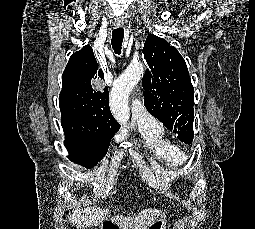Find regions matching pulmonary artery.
<instances>
[{
  "label": "pulmonary artery",
  "instance_id": "pulmonary-artery-1",
  "mask_svg": "<svg viewBox=\"0 0 255 229\" xmlns=\"http://www.w3.org/2000/svg\"><path fill=\"white\" fill-rule=\"evenodd\" d=\"M132 119L139 125L155 127L156 120L147 112L142 102L133 99L131 102Z\"/></svg>",
  "mask_w": 255,
  "mask_h": 229
}]
</instances>
